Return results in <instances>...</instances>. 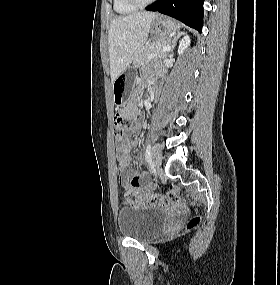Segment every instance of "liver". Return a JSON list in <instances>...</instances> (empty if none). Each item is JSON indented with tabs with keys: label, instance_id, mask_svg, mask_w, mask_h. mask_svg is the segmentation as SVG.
Masks as SVG:
<instances>
[{
	"label": "liver",
	"instance_id": "liver-1",
	"mask_svg": "<svg viewBox=\"0 0 280 285\" xmlns=\"http://www.w3.org/2000/svg\"><path fill=\"white\" fill-rule=\"evenodd\" d=\"M156 17V13L136 12L111 21L108 43L112 83L140 53Z\"/></svg>",
	"mask_w": 280,
	"mask_h": 285
}]
</instances>
